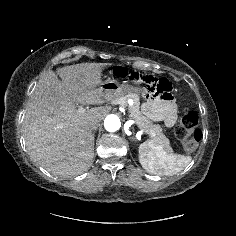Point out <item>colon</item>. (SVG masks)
<instances>
[{
    "label": "colon",
    "mask_w": 236,
    "mask_h": 236,
    "mask_svg": "<svg viewBox=\"0 0 236 236\" xmlns=\"http://www.w3.org/2000/svg\"><path fill=\"white\" fill-rule=\"evenodd\" d=\"M115 74L120 78H126L129 76L128 72L124 68H117ZM131 79H136L135 74L130 75ZM152 90H156L160 94H168L171 90V85L167 80H161L152 86ZM199 122L198 114L195 111H187L180 123L175 127V135L180 141L184 152H194L201 139V132L197 128Z\"/></svg>",
    "instance_id": "obj_1"
}]
</instances>
